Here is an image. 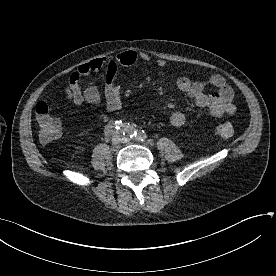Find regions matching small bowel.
Listing matches in <instances>:
<instances>
[{"label": "small bowel", "instance_id": "obj_1", "mask_svg": "<svg viewBox=\"0 0 276 276\" xmlns=\"http://www.w3.org/2000/svg\"><path fill=\"white\" fill-rule=\"evenodd\" d=\"M149 60L150 56L145 52L127 50L115 56L96 58L83 63L71 74L64 88L65 95L75 105L86 102L93 106H100L103 99L99 89L95 85H87L82 89V78L94 72L104 71V105L108 111H116L122 105L120 90L114 84L118 68L120 66H132L138 61L147 62ZM156 64L158 67L165 66L163 60H158ZM209 85L214 89L206 92L205 89ZM177 87L182 93L190 97L197 107L208 109L215 117L235 113L233 90L220 74H212L205 80L197 82H193L187 77H181L177 81ZM170 122L175 127L183 126L186 122L185 113L182 111L173 112L170 116Z\"/></svg>", "mask_w": 276, "mask_h": 276}]
</instances>
